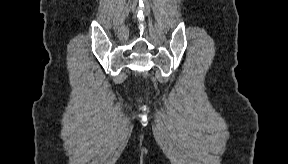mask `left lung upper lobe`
<instances>
[{"instance_id":"1","label":"left lung upper lobe","mask_w":288,"mask_h":164,"mask_svg":"<svg viewBox=\"0 0 288 164\" xmlns=\"http://www.w3.org/2000/svg\"><path fill=\"white\" fill-rule=\"evenodd\" d=\"M250 84L252 85V87L254 88L257 84V81L255 79H251L250 81Z\"/></svg>"}]
</instances>
